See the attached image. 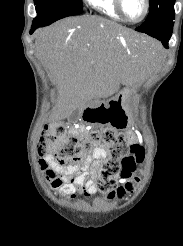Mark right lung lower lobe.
<instances>
[{
	"mask_svg": "<svg viewBox=\"0 0 183 246\" xmlns=\"http://www.w3.org/2000/svg\"><path fill=\"white\" fill-rule=\"evenodd\" d=\"M43 26H46V24L45 23H33L30 33L32 34L37 28L43 27Z\"/></svg>",
	"mask_w": 183,
	"mask_h": 246,
	"instance_id": "obj_1",
	"label": "right lung lower lobe"
}]
</instances>
